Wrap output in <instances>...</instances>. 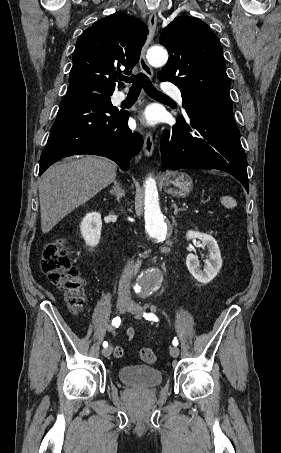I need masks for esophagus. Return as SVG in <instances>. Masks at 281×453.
Wrapping results in <instances>:
<instances>
[{"mask_svg": "<svg viewBox=\"0 0 281 453\" xmlns=\"http://www.w3.org/2000/svg\"><path fill=\"white\" fill-rule=\"evenodd\" d=\"M156 27H157V13L155 11H152L148 19L149 35L147 37L146 43L142 48L139 60L141 70L143 71V73H145V75H147V77L150 78L153 77V70L152 67H150V65L146 61V51L154 38ZM153 151H154L153 136L151 132H147L144 139L143 152L147 157H151Z\"/></svg>", "mask_w": 281, "mask_h": 453, "instance_id": "1", "label": "esophagus"}]
</instances>
